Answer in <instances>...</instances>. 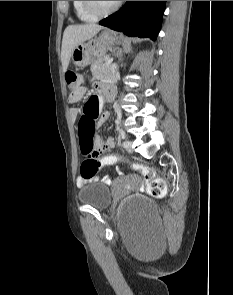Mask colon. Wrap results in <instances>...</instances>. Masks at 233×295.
Listing matches in <instances>:
<instances>
[{
	"mask_svg": "<svg viewBox=\"0 0 233 295\" xmlns=\"http://www.w3.org/2000/svg\"><path fill=\"white\" fill-rule=\"evenodd\" d=\"M69 97L76 98L85 93L83 77L74 71L65 74ZM79 138L81 152L85 159L80 167L81 177L93 178L97 172L107 166L122 161V157L116 153L101 155L95 139V122L89 115H83L79 121ZM131 166L140 171L146 184L148 193L155 198H162L167 193V186L162 178L156 177L152 168L140 163H132Z\"/></svg>",
	"mask_w": 233,
	"mask_h": 295,
	"instance_id": "5ec220e1",
	"label": "colon"
}]
</instances>
